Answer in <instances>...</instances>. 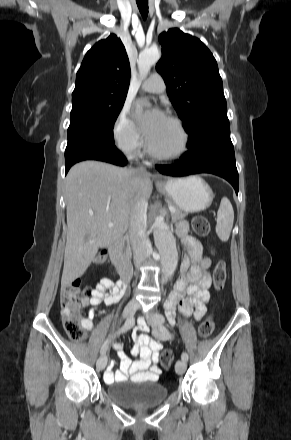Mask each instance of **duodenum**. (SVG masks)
Returning <instances> with one entry per match:
<instances>
[{"label": "duodenum", "mask_w": 291, "mask_h": 440, "mask_svg": "<svg viewBox=\"0 0 291 440\" xmlns=\"http://www.w3.org/2000/svg\"><path fill=\"white\" fill-rule=\"evenodd\" d=\"M126 241L124 238H116L108 246V252L110 253L112 260L119 270L120 282L126 285L130 279V265L126 256Z\"/></svg>", "instance_id": "obj_1"}]
</instances>
